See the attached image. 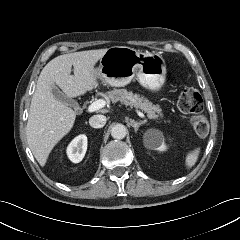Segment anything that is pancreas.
I'll use <instances>...</instances> for the list:
<instances>
[{
    "instance_id": "cf45deb5",
    "label": "pancreas",
    "mask_w": 240,
    "mask_h": 240,
    "mask_svg": "<svg viewBox=\"0 0 240 240\" xmlns=\"http://www.w3.org/2000/svg\"><path fill=\"white\" fill-rule=\"evenodd\" d=\"M106 99L113 103L120 101L122 104L135 107L147 113L150 119H158L163 117L161 109L157 105H153L147 98L127 91L126 89H113L106 93Z\"/></svg>"
}]
</instances>
